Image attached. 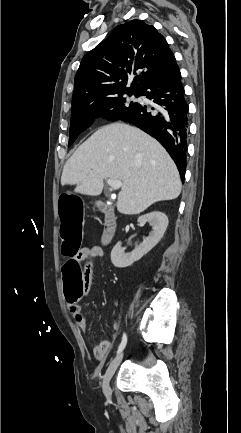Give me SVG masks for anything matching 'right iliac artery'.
I'll list each match as a JSON object with an SVG mask.
<instances>
[{"instance_id":"right-iliac-artery-1","label":"right iliac artery","mask_w":241,"mask_h":433,"mask_svg":"<svg viewBox=\"0 0 241 433\" xmlns=\"http://www.w3.org/2000/svg\"><path fill=\"white\" fill-rule=\"evenodd\" d=\"M126 343H127V335L123 333L122 341L117 350V354L120 353L125 348Z\"/></svg>"}]
</instances>
